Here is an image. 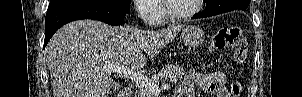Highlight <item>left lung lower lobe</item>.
Listing matches in <instances>:
<instances>
[{
  "label": "left lung lower lobe",
  "mask_w": 302,
  "mask_h": 97,
  "mask_svg": "<svg viewBox=\"0 0 302 97\" xmlns=\"http://www.w3.org/2000/svg\"><path fill=\"white\" fill-rule=\"evenodd\" d=\"M243 11H245V10H243ZM216 14H220V13L218 11H211V10L205 9L204 11L199 12L198 14L194 15L192 17V19L209 17V16H213V15H216Z\"/></svg>",
  "instance_id": "1"
}]
</instances>
